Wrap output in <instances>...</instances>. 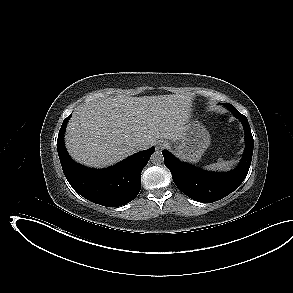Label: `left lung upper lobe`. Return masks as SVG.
Returning <instances> with one entry per match:
<instances>
[{
    "mask_svg": "<svg viewBox=\"0 0 293 293\" xmlns=\"http://www.w3.org/2000/svg\"><path fill=\"white\" fill-rule=\"evenodd\" d=\"M224 105H225V107H226L227 109H229V110L233 113L234 116H240V115H242L241 113H239V112L234 108L233 105H231V104H229V103H225Z\"/></svg>",
    "mask_w": 293,
    "mask_h": 293,
    "instance_id": "left-lung-upper-lobe-1",
    "label": "left lung upper lobe"
}]
</instances>
